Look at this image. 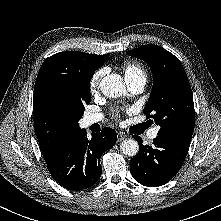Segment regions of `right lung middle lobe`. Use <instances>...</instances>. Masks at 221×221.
I'll return each mask as SVG.
<instances>
[{
    "instance_id": "right-lung-middle-lobe-1",
    "label": "right lung middle lobe",
    "mask_w": 221,
    "mask_h": 221,
    "mask_svg": "<svg viewBox=\"0 0 221 221\" xmlns=\"http://www.w3.org/2000/svg\"><path fill=\"white\" fill-rule=\"evenodd\" d=\"M93 74H76L60 82L54 88V95L60 105L65 107L78 121L90 102V81Z\"/></svg>"
}]
</instances>
